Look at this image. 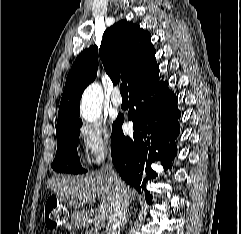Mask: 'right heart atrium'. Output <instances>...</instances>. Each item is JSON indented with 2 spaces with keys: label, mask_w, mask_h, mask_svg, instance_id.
<instances>
[{
  "label": "right heart atrium",
  "mask_w": 241,
  "mask_h": 234,
  "mask_svg": "<svg viewBox=\"0 0 241 234\" xmlns=\"http://www.w3.org/2000/svg\"><path fill=\"white\" fill-rule=\"evenodd\" d=\"M78 136L87 165L99 164L111 155L113 141L105 125L100 123L83 124L78 129Z\"/></svg>",
  "instance_id": "d8ad5b80"
}]
</instances>
